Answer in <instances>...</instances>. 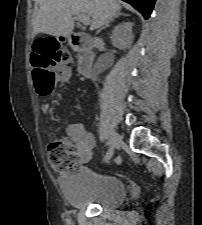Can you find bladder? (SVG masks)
<instances>
[{
    "label": "bladder",
    "instance_id": "31cf9c89",
    "mask_svg": "<svg viewBox=\"0 0 202 225\" xmlns=\"http://www.w3.org/2000/svg\"><path fill=\"white\" fill-rule=\"evenodd\" d=\"M64 198L72 208L98 205L119 208L127 200L124 181L105 171L83 167L62 180Z\"/></svg>",
    "mask_w": 202,
    "mask_h": 225
}]
</instances>
